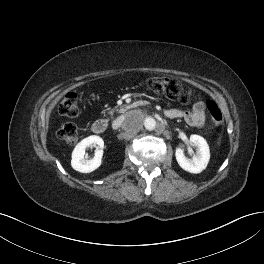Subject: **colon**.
Returning a JSON list of instances; mask_svg holds the SVG:
<instances>
[{"mask_svg": "<svg viewBox=\"0 0 264 264\" xmlns=\"http://www.w3.org/2000/svg\"><path fill=\"white\" fill-rule=\"evenodd\" d=\"M147 86L156 93L163 94L168 98L187 103L192 97V92L183 87L179 82L168 78L156 77L147 80ZM208 113L214 125H221L223 114L215 101L207 103ZM79 111V97L75 93L66 94L59 104V112L64 116L73 117ZM57 137L66 144L72 145L78 141V128L74 123H65L57 131Z\"/></svg>", "mask_w": 264, "mask_h": 264, "instance_id": "1", "label": "colon"}]
</instances>
